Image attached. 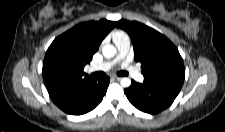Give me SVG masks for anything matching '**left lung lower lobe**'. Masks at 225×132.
Listing matches in <instances>:
<instances>
[{
  "instance_id": "0a47b994",
  "label": "left lung lower lobe",
  "mask_w": 225,
  "mask_h": 132,
  "mask_svg": "<svg viewBox=\"0 0 225 132\" xmlns=\"http://www.w3.org/2000/svg\"><path fill=\"white\" fill-rule=\"evenodd\" d=\"M180 89L154 85L149 83H136L132 80L131 86L124 90L128 100L137 109L156 114L166 109L177 97Z\"/></svg>"
}]
</instances>
